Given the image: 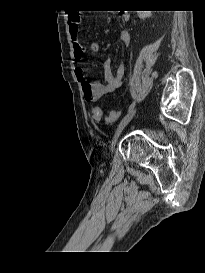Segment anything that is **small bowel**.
<instances>
[{
  "label": "small bowel",
  "instance_id": "obj_1",
  "mask_svg": "<svg viewBox=\"0 0 205 273\" xmlns=\"http://www.w3.org/2000/svg\"><path fill=\"white\" fill-rule=\"evenodd\" d=\"M121 17L123 19H127L128 14L122 13ZM68 24L73 46V59L76 62H80L84 54V47L78 38L80 16L77 14L69 15ZM119 40L123 45H129L131 41L130 33L128 31H122ZM89 48L95 55L100 53V45L97 42H91ZM102 69L103 77L106 82L105 84L97 81H88L86 73L81 66H77L75 69V76L82 85L84 98L87 102H95L102 96L113 92L121 85L122 77L124 74V67L122 65L118 66L116 70L113 71L110 60L105 59L102 63Z\"/></svg>",
  "mask_w": 205,
  "mask_h": 273
}]
</instances>
